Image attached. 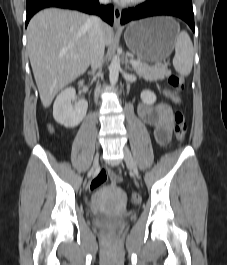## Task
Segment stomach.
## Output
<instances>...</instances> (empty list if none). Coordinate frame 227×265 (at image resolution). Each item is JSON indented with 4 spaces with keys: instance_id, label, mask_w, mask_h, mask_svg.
<instances>
[{
    "instance_id": "1",
    "label": "stomach",
    "mask_w": 227,
    "mask_h": 265,
    "mask_svg": "<svg viewBox=\"0 0 227 265\" xmlns=\"http://www.w3.org/2000/svg\"><path fill=\"white\" fill-rule=\"evenodd\" d=\"M179 30L178 23L171 17H152L130 23L124 39L139 60L158 62L172 53Z\"/></svg>"
}]
</instances>
